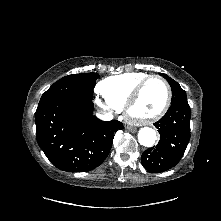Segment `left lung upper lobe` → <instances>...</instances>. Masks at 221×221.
Wrapping results in <instances>:
<instances>
[{
    "instance_id": "left-lung-upper-lobe-1",
    "label": "left lung upper lobe",
    "mask_w": 221,
    "mask_h": 221,
    "mask_svg": "<svg viewBox=\"0 0 221 221\" xmlns=\"http://www.w3.org/2000/svg\"><path fill=\"white\" fill-rule=\"evenodd\" d=\"M170 84L171 90H172V99H171V105L175 103H183L187 102V95L185 91L180 87V85L170 78L168 75L160 73Z\"/></svg>"
}]
</instances>
